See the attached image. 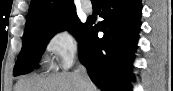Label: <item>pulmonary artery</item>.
Instances as JSON below:
<instances>
[{
	"label": "pulmonary artery",
	"mask_w": 173,
	"mask_h": 91,
	"mask_svg": "<svg viewBox=\"0 0 173 91\" xmlns=\"http://www.w3.org/2000/svg\"><path fill=\"white\" fill-rule=\"evenodd\" d=\"M82 8L86 13H91L93 8L89 1H84L82 4Z\"/></svg>",
	"instance_id": "pulmonary-artery-1"
}]
</instances>
